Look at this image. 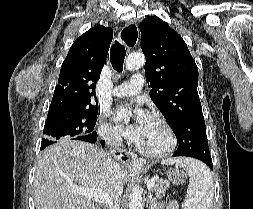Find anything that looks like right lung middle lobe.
Listing matches in <instances>:
<instances>
[{
  "label": "right lung middle lobe",
  "instance_id": "1",
  "mask_svg": "<svg viewBox=\"0 0 253 209\" xmlns=\"http://www.w3.org/2000/svg\"><path fill=\"white\" fill-rule=\"evenodd\" d=\"M98 106L59 111L47 116L41 149L60 139L90 136L96 124Z\"/></svg>",
  "mask_w": 253,
  "mask_h": 209
}]
</instances>
